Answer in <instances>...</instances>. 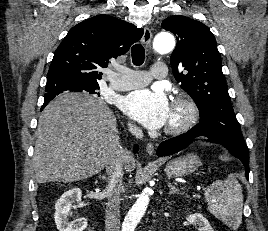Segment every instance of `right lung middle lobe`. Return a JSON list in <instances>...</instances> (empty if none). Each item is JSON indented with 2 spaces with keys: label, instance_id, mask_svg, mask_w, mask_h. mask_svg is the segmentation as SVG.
Returning a JSON list of instances; mask_svg holds the SVG:
<instances>
[{
  "label": "right lung middle lobe",
  "instance_id": "dd1d6c3e",
  "mask_svg": "<svg viewBox=\"0 0 268 231\" xmlns=\"http://www.w3.org/2000/svg\"><path fill=\"white\" fill-rule=\"evenodd\" d=\"M99 89V86H86L72 83H58L51 86H46L45 97L54 98L56 95L67 91V92H89L90 94L97 93L96 90ZM99 94V93H98Z\"/></svg>",
  "mask_w": 268,
  "mask_h": 231
}]
</instances>
